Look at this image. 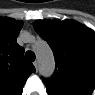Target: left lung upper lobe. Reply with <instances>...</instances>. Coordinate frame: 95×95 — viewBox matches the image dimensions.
Instances as JSON below:
<instances>
[{"mask_svg":"<svg viewBox=\"0 0 95 95\" xmlns=\"http://www.w3.org/2000/svg\"><path fill=\"white\" fill-rule=\"evenodd\" d=\"M35 31L53 50L56 69L43 79L47 91L89 95L95 88V33L74 20H39Z\"/></svg>","mask_w":95,"mask_h":95,"instance_id":"obj_1","label":"left lung upper lobe"}]
</instances>
